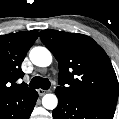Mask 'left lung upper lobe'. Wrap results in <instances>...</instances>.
Here are the masks:
<instances>
[{
    "instance_id": "left-lung-upper-lobe-1",
    "label": "left lung upper lobe",
    "mask_w": 119,
    "mask_h": 119,
    "mask_svg": "<svg viewBox=\"0 0 119 119\" xmlns=\"http://www.w3.org/2000/svg\"><path fill=\"white\" fill-rule=\"evenodd\" d=\"M40 37L58 61L60 86L56 94L116 108L115 71L105 51L91 37L57 30H43Z\"/></svg>"
}]
</instances>
